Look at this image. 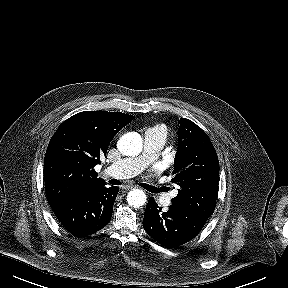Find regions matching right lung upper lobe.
I'll list each match as a JSON object with an SVG mask.
<instances>
[{"mask_svg":"<svg viewBox=\"0 0 288 288\" xmlns=\"http://www.w3.org/2000/svg\"><path fill=\"white\" fill-rule=\"evenodd\" d=\"M120 112L84 111L67 119L51 138L44 161L48 202L100 185L95 165L114 136L133 120Z\"/></svg>","mask_w":288,"mask_h":288,"instance_id":"1","label":"right lung upper lobe"}]
</instances>
